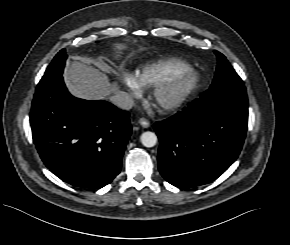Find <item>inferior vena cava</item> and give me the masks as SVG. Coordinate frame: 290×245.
Segmentation results:
<instances>
[{"instance_id":"602c4592","label":"inferior vena cava","mask_w":290,"mask_h":245,"mask_svg":"<svg viewBox=\"0 0 290 245\" xmlns=\"http://www.w3.org/2000/svg\"><path fill=\"white\" fill-rule=\"evenodd\" d=\"M111 102L120 109L130 110L134 105L133 98L126 92H119L110 98Z\"/></svg>"}]
</instances>
